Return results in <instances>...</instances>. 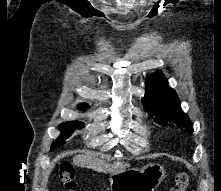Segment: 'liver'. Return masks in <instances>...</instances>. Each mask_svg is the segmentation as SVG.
Here are the masks:
<instances>
[{"mask_svg": "<svg viewBox=\"0 0 221 191\" xmlns=\"http://www.w3.org/2000/svg\"><path fill=\"white\" fill-rule=\"evenodd\" d=\"M73 163L81 167L90 168L96 172H108L114 173L123 170L128 164L121 162H116L113 164L105 163V161L100 160L96 157L93 152H87L86 154L76 155L73 158Z\"/></svg>", "mask_w": 221, "mask_h": 191, "instance_id": "liver-1", "label": "liver"}]
</instances>
